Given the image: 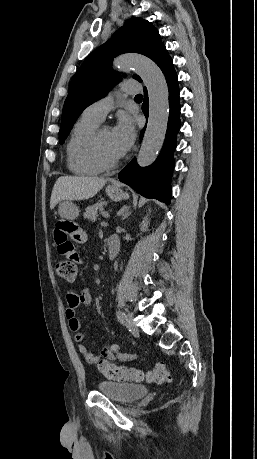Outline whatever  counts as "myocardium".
<instances>
[{"mask_svg": "<svg viewBox=\"0 0 257 459\" xmlns=\"http://www.w3.org/2000/svg\"><path fill=\"white\" fill-rule=\"evenodd\" d=\"M106 128H108V126H101V127H98L94 131L89 141V147H88L90 157L92 158L94 163L98 165L101 169H104V170L115 168L116 166H118V164L121 161V157L109 160L102 153L101 146H100V137H101L102 132Z\"/></svg>", "mask_w": 257, "mask_h": 459, "instance_id": "myocardium-1", "label": "myocardium"}]
</instances>
